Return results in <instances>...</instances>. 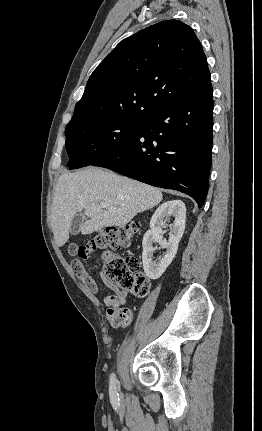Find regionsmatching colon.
I'll return each instance as SVG.
<instances>
[{"label":"colon","instance_id":"1","mask_svg":"<svg viewBox=\"0 0 262 431\" xmlns=\"http://www.w3.org/2000/svg\"><path fill=\"white\" fill-rule=\"evenodd\" d=\"M135 226H123L118 228H107L98 232L89 241L81 244L73 243L69 247V253L78 256L79 259L87 260L96 251H108L126 247L134 239ZM140 260L136 257H121L115 255L106 256L102 263V275L106 282L120 289H127L135 297H144L149 291L148 278L139 271ZM73 269L76 273L81 272L83 264L75 260ZM113 327H124L129 325L131 314L123 309L114 312L109 317Z\"/></svg>","mask_w":262,"mask_h":431}]
</instances>
